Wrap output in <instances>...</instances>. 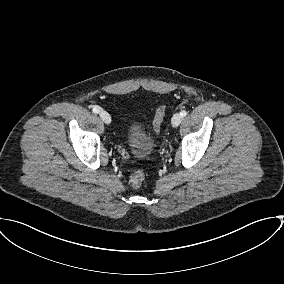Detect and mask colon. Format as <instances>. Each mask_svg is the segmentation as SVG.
<instances>
[{"label":"colon","mask_w":284,"mask_h":284,"mask_svg":"<svg viewBox=\"0 0 284 284\" xmlns=\"http://www.w3.org/2000/svg\"><path fill=\"white\" fill-rule=\"evenodd\" d=\"M164 114H165V106L160 105L156 109L154 119H153V130L155 133H158L160 131V127H161V124L164 118ZM144 179H145V174L142 171H137L130 176V184L133 187L138 188L142 185V183L144 182Z\"/></svg>","instance_id":"obj_1"}]
</instances>
